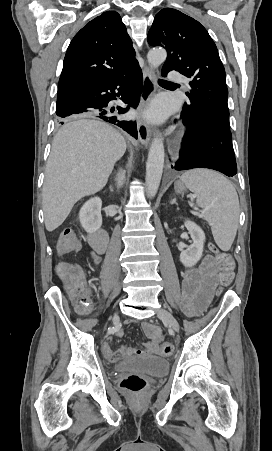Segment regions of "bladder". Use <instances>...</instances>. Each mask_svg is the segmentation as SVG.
I'll return each instance as SVG.
<instances>
[{
  "instance_id": "bladder-1",
  "label": "bladder",
  "mask_w": 272,
  "mask_h": 451,
  "mask_svg": "<svg viewBox=\"0 0 272 451\" xmlns=\"http://www.w3.org/2000/svg\"><path fill=\"white\" fill-rule=\"evenodd\" d=\"M115 371H135L155 377L167 374L168 360L155 356L154 354L130 355L113 365Z\"/></svg>"
}]
</instances>
